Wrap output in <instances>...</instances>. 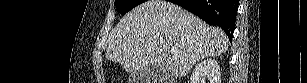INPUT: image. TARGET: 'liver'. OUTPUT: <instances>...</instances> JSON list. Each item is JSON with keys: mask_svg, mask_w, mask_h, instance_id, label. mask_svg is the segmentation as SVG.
Masks as SVG:
<instances>
[{"mask_svg": "<svg viewBox=\"0 0 307 83\" xmlns=\"http://www.w3.org/2000/svg\"><path fill=\"white\" fill-rule=\"evenodd\" d=\"M228 44L221 29L207 25L180 6L149 0L114 27L105 56L127 72L158 67L180 78L199 60L225 53ZM171 49L178 54L172 55ZM166 81L172 79L166 77Z\"/></svg>", "mask_w": 307, "mask_h": 83, "instance_id": "obj_1", "label": "liver"}]
</instances>
